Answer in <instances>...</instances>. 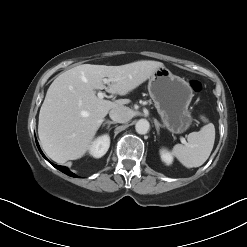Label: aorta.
<instances>
[{
  "label": "aorta",
  "mask_w": 247,
  "mask_h": 247,
  "mask_svg": "<svg viewBox=\"0 0 247 247\" xmlns=\"http://www.w3.org/2000/svg\"><path fill=\"white\" fill-rule=\"evenodd\" d=\"M150 128V124L146 119H140L135 125L136 132L139 134H146Z\"/></svg>",
  "instance_id": "762f6f07"
}]
</instances>
